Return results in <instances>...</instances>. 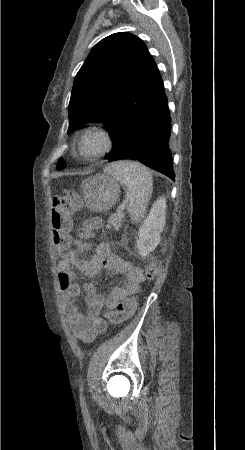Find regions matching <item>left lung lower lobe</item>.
Here are the masks:
<instances>
[{
    "instance_id": "left-lung-lower-lobe-1",
    "label": "left lung lower lobe",
    "mask_w": 245,
    "mask_h": 450,
    "mask_svg": "<svg viewBox=\"0 0 245 450\" xmlns=\"http://www.w3.org/2000/svg\"><path fill=\"white\" fill-rule=\"evenodd\" d=\"M170 136L171 116L163 86L143 110L124 148L119 152L108 154L105 159L138 160L174 180Z\"/></svg>"
}]
</instances>
